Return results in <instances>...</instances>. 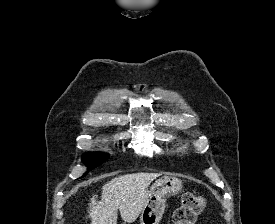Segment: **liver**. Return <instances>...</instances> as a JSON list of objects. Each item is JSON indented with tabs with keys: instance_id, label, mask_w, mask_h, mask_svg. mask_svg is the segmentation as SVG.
I'll use <instances>...</instances> for the list:
<instances>
[{
	"instance_id": "liver-1",
	"label": "liver",
	"mask_w": 275,
	"mask_h": 224,
	"mask_svg": "<svg viewBox=\"0 0 275 224\" xmlns=\"http://www.w3.org/2000/svg\"><path fill=\"white\" fill-rule=\"evenodd\" d=\"M159 173L126 174L108 181L102 187L101 199L93 195L88 211L91 224H117L122 219L133 223L145 206L150 183Z\"/></svg>"
}]
</instances>
